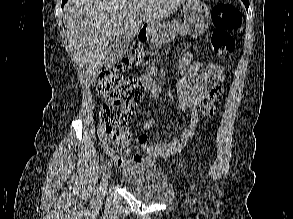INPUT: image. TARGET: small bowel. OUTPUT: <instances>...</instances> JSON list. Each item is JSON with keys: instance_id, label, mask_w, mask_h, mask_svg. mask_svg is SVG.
Here are the masks:
<instances>
[{"instance_id": "c3829d8e", "label": "small bowel", "mask_w": 293, "mask_h": 219, "mask_svg": "<svg viewBox=\"0 0 293 219\" xmlns=\"http://www.w3.org/2000/svg\"><path fill=\"white\" fill-rule=\"evenodd\" d=\"M179 67L182 78L177 85L178 108L182 112L190 113L189 127L181 133L180 139L158 142L151 146L147 143L148 135L146 133L133 138L129 130L125 128L121 132L111 135L100 125L97 129V135L102 147L119 167L150 164L158 157L182 153L201 124L200 116L214 114L215 102L222 92L223 77L205 68L200 61L194 60L189 52L183 54ZM193 78H196L194 83L192 82ZM142 80L148 95L158 99L161 88L148 76H144ZM155 123V119L147 120L144 122L143 128L150 131L154 128ZM132 142L141 148L144 152L143 156L137 154L128 159Z\"/></svg>"}]
</instances>
